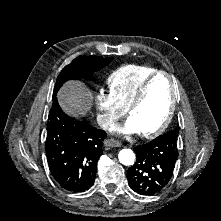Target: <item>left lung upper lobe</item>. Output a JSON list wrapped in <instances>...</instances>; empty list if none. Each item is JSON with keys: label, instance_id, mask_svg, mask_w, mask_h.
I'll list each match as a JSON object with an SVG mask.
<instances>
[{"label": "left lung upper lobe", "instance_id": "obj_1", "mask_svg": "<svg viewBox=\"0 0 221 221\" xmlns=\"http://www.w3.org/2000/svg\"><path fill=\"white\" fill-rule=\"evenodd\" d=\"M179 126H177L174 130L168 131L166 134L167 137L176 138L178 137Z\"/></svg>", "mask_w": 221, "mask_h": 221}]
</instances>
